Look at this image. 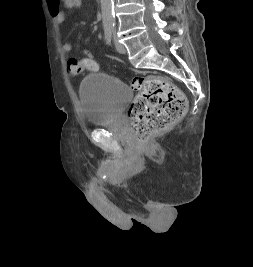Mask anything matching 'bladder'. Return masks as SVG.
<instances>
[{
  "mask_svg": "<svg viewBox=\"0 0 253 267\" xmlns=\"http://www.w3.org/2000/svg\"><path fill=\"white\" fill-rule=\"evenodd\" d=\"M79 97L86 123L101 127L117 119L125 104L132 99V91L113 76L91 73L82 80Z\"/></svg>",
  "mask_w": 253,
  "mask_h": 267,
  "instance_id": "31cf9c89",
  "label": "bladder"
}]
</instances>
